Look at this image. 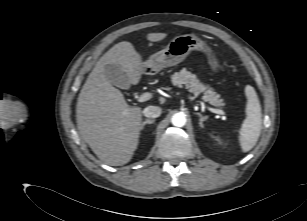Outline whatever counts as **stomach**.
Listing matches in <instances>:
<instances>
[{"label":"stomach","instance_id":"stomach-1","mask_svg":"<svg viewBox=\"0 0 307 221\" xmlns=\"http://www.w3.org/2000/svg\"><path fill=\"white\" fill-rule=\"evenodd\" d=\"M193 50L202 51L207 54L211 68L216 72L219 69L217 59L212 55L208 45L194 34H184L174 37L165 49L153 54L145 64L160 71L182 62Z\"/></svg>","mask_w":307,"mask_h":221}]
</instances>
